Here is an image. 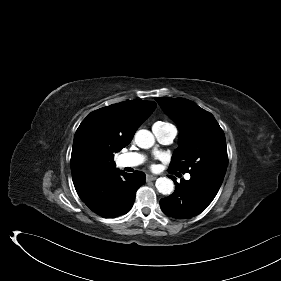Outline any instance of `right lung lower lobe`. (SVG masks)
Instances as JSON below:
<instances>
[{
    "mask_svg": "<svg viewBox=\"0 0 281 281\" xmlns=\"http://www.w3.org/2000/svg\"><path fill=\"white\" fill-rule=\"evenodd\" d=\"M145 183V174H127L119 169L104 174L77 191L81 200L104 218L127 213L135 200L136 191Z\"/></svg>",
    "mask_w": 281,
    "mask_h": 281,
    "instance_id": "98d812e1",
    "label": "right lung lower lobe"
}]
</instances>
